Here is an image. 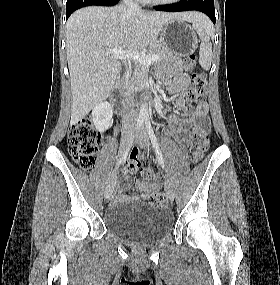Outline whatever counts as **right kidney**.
Masks as SVG:
<instances>
[{
  "label": "right kidney",
  "mask_w": 280,
  "mask_h": 285,
  "mask_svg": "<svg viewBox=\"0 0 280 285\" xmlns=\"http://www.w3.org/2000/svg\"><path fill=\"white\" fill-rule=\"evenodd\" d=\"M113 111L108 102H100L92 110V121L99 132L108 129Z\"/></svg>",
  "instance_id": "right-kidney-1"
}]
</instances>
